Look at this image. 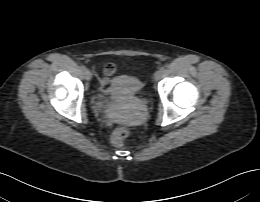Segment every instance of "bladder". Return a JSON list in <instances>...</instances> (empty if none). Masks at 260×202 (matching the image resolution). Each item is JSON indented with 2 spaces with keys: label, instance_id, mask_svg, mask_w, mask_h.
I'll return each mask as SVG.
<instances>
[{
  "label": "bladder",
  "instance_id": "bladder-1",
  "mask_svg": "<svg viewBox=\"0 0 260 202\" xmlns=\"http://www.w3.org/2000/svg\"><path fill=\"white\" fill-rule=\"evenodd\" d=\"M140 89V81L129 75L115 77L107 88V93L117 98H134Z\"/></svg>",
  "mask_w": 260,
  "mask_h": 202
}]
</instances>
